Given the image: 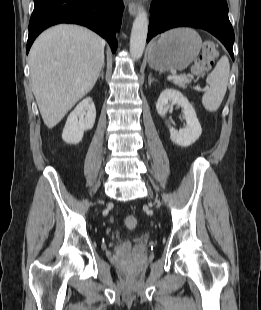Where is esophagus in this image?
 Segmentation results:
<instances>
[{
  "label": "esophagus",
  "instance_id": "1",
  "mask_svg": "<svg viewBox=\"0 0 261 310\" xmlns=\"http://www.w3.org/2000/svg\"><path fill=\"white\" fill-rule=\"evenodd\" d=\"M139 9H140V5L138 3H135V2L129 3L128 11L131 16H135L138 13Z\"/></svg>",
  "mask_w": 261,
  "mask_h": 310
}]
</instances>
